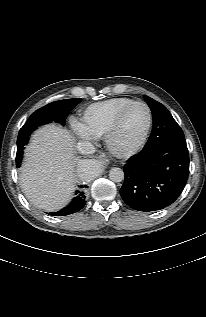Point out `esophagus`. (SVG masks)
Returning a JSON list of instances; mask_svg holds the SVG:
<instances>
[{
	"instance_id": "34e87169",
	"label": "esophagus",
	"mask_w": 206,
	"mask_h": 317,
	"mask_svg": "<svg viewBox=\"0 0 206 317\" xmlns=\"http://www.w3.org/2000/svg\"><path fill=\"white\" fill-rule=\"evenodd\" d=\"M98 158V161L101 165H107L108 164V160L105 158L104 154L96 157Z\"/></svg>"
}]
</instances>
